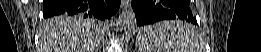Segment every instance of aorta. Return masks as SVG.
<instances>
[{"instance_id": "1", "label": "aorta", "mask_w": 261, "mask_h": 52, "mask_svg": "<svg viewBox=\"0 0 261 52\" xmlns=\"http://www.w3.org/2000/svg\"><path fill=\"white\" fill-rule=\"evenodd\" d=\"M136 20L135 12L132 9L123 11L116 22L117 30L123 31L133 28L136 25Z\"/></svg>"}]
</instances>
